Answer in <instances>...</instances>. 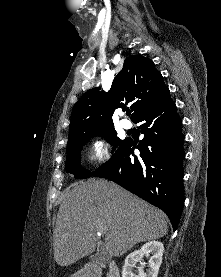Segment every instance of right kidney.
Here are the masks:
<instances>
[{"label": "right kidney", "mask_w": 221, "mask_h": 277, "mask_svg": "<svg viewBox=\"0 0 221 277\" xmlns=\"http://www.w3.org/2000/svg\"><path fill=\"white\" fill-rule=\"evenodd\" d=\"M164 252L163 244L159 241H150L144 244L140 250L129 254L122 269V277H157L162 256ZM146 256L149 258L148 270L144 272L143 268L138 269V274L134 273L137 262Z\"/></svg>", "instance_id": "obj_1"}]
</instances>
